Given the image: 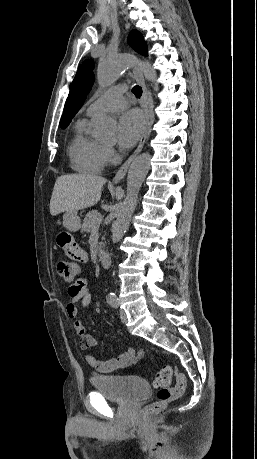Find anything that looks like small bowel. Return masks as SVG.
<instances>
[{
	"instance_id": "obj_1",
	"label": "small bowel",
	"mask_w": 257,
	"mask_h": 459,
	"mask_svg": "<svg viewBox=\"0 0 257 459\" xmlns=\"http://www.w3.org/2000/svg\"><path fill=\"white\" fill-rule=\"evenodd\" d=\"M56 244L69 264H88L89 257L86 249L81 246L72 230H61L56 235ZM68 303L66 305V316L72 321L73 328L79 337V346L83 350L98 345L97 339L86 332L81 320L78 319V304L81 307H87L91 303V292L85 278H79L69 286L67 290ZM144 355L143 350L128 348L122 355L108 359L100 360L92 354L85 355V361L98 372H111L118 368L128 367Z\"/></svg>"
}]
</instances>
